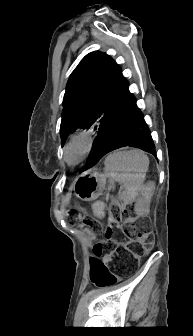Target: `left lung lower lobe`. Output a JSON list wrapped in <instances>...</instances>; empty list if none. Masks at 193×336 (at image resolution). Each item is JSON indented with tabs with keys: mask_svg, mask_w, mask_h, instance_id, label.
<instances>
[{
	"mask_svg": "<svg viewBox=\"0 0 193 336\" xmlns=\"http://www.w3.org/2000/svg\"><path fill=\"white\" fill-rule=\"evenodd\" d=\"M124 146L140 148L156 156L150 131L136 106L135 97L128 91L127 81L116 103L99 125L88 163L82 171L97 164L107 153Z\"/></svg>",
	"mask_w": 193,
	"mask_h": 336,
	"instance_id": "left-lung-lower-lobe-1",
	"label": "left lung lower lobe"
}]
</instances>
